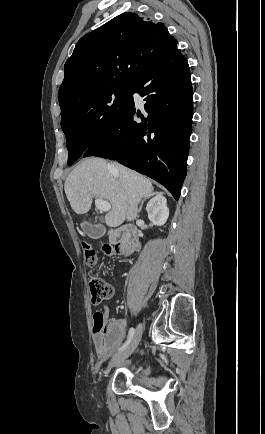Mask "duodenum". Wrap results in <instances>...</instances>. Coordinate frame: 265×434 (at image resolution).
I'll list each match as a JSON object with an SVG mask.
<instances>
[{"instance_id":"obj_1","label":"duodenum","mask_w":265,"mask_h":434,"mask_svg":"<svg viewBox=\"0 0 265 434\" xmlns=\"http://www.w3.org/2000/svg\"><path fill=\"white\" fill-rule=\"evenodd\" d=\"M132 229H137L135 226L127 225L122 228H113L108 233L109 242L116 244L121 242L124 246L122 254L129 257V244Z\"/></svg>"}]
</instances>
